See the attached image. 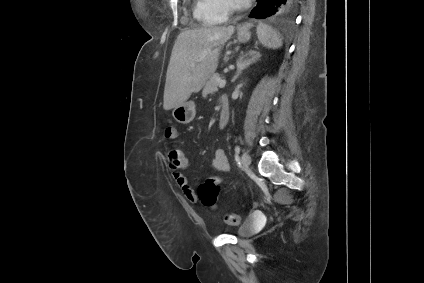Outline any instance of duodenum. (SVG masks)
Returning a JSON list of instances; mask_svg holds the SVG:
<instances>
[{
	"mask_svg": "<svg viewBox=\"0 0 424 283\" xmlns=\"http://www.w3.org/2000/svg\"><path fill=\"white\" fill-rule=\"evenodd\" d=\"M229 101L227 98L221 99L219 125L224 128L229 120Z\"/></svg>",
	"mask_w": 424,
	"mask_h": 283,
	"instance_id": "obj_1",
	"label": "duodenum"
}]
</instances>
